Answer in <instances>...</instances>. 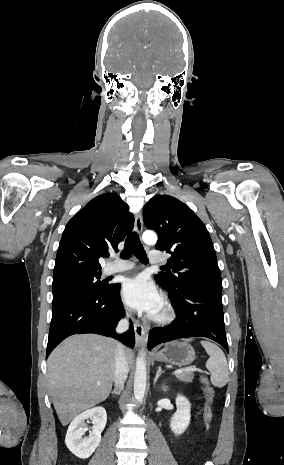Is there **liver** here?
<instances>
[{
	"mask_svg": "<svg viewBox=\"0 0 284 465\" xmlns=\"http://www.w3.org/2000/svg\"><path fill=\"white\" fill-rule=\"evenodd\" d=\"M113 339L98 335H75L54 349L48 359L49 393L63 427L82 411L105 401L115 375ZM129 365L130 349H124Z\"/></svg>",
	"mask_w": 284,
	"mask_h": 465,
	"instance_id": "1",
	"label": "liver"
}]
</instances>
